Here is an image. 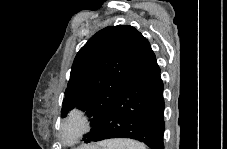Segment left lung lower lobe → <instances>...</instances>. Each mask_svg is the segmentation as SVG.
Wrapping results in <instances>:
<instances>
[{"label": "left lung lower lobe", "mask_w": 227, "mask_h": 149, "mask_svg": "<svg viewBox=\"0 0 227 149\" xmlns=\"http://www.w3.org/2000/svg\"><path fill=\"white\" fill-rule=\"evenodd\" d=\"M164 107L160 68L145 39L122 90L84 142L131 138L164 149Z\"/></svg>", "instance_id": "obj_1"}]
</instances>
